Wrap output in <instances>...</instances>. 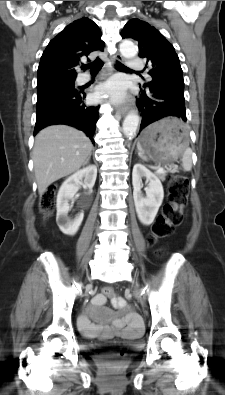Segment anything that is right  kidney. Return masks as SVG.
Segmentation results:
<instances>
[{"label": "right kidney", "instance_id": "1", "mask_svg": "<svg viewBox=\"0 0 225 395\" xmlns=\"http://www.w3.org/2000/svg\"><path fill=\"white\" fill-rule=\"evenodd\" d=\"M96 177L97 168L94 165H90L74 173L61 185L57 195L56 222L64 234L75 235L84 217L83 212L77 214L74 219L68 217V212L70 211L69 200L74 197L81 185L91 190L95 184Z\"/></svg>", "mask_w": 225, "mask_h": 395}]
</instances>
